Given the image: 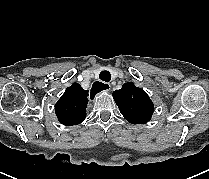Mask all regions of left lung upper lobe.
Masks as SVG:
<instances>
[{"label":"left lung upper lobe","instance_id":"5c2ea615","mask_svg":"<svg viewBox=\"0 0 209 179\" xmlns=\"http://www.w3.org/2000/svg\"><path fill=\"white\" fill-rule=\"evenodd\" d=\"M113 98L124 118L132 124L147 123L154 112V106L147 93L133 83H125L113 92Z\"/></svg>","mask_w":209,"mask_h":179}]
</instances>
